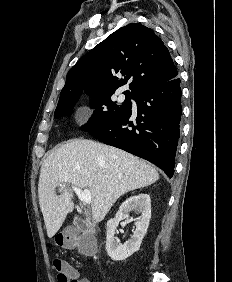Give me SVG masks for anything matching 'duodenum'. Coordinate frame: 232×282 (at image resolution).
<instances>
[{"instance_id":"410a0bca","label":"duodenum","mask_w":232,"mask_h":282,"mask_svg":"<svg viewBox=\"0 0 232 282\" xmlns=\"http://www.w3.org/2000/svg\"><path fill=\"white\" fill-rule=\"evenodd\" d=\"M75 226L79 231L89 234L91 236L92 242H95V231L84 220L81 218H76Z\"/></svg>"}]
</instances>
